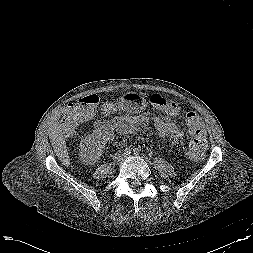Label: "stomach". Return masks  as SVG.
Segmentation results:
<instances>
[{
    "mask_svg": "<svg viewBox=\"0 0 253 253\" xmlns=\"http://www.w3.org/2000/svg\"><path fill=\"white\" fill-rule=\"evenodd\" d=\"M117 107L127 113H141L147 107V102L145 97L137 92H127L125 93L117 103ZM113 106L111 104H106L105 109L111 110Z\"/></svg>",
    "mask_w": 253,
    "mask_h": 253,
    "instance_id": "obj_1",
    "label": "stomach"
}]
</instances>
